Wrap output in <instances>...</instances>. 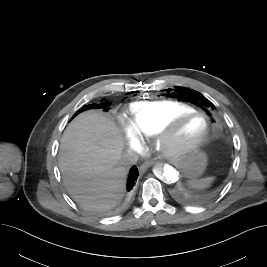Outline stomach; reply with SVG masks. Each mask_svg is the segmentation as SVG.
Returning <instances> with one entry per match:
<instances>
[{
	"instance_id": "stomach-1",
	"label": "stomach",
	"mask_w": 267,
	"mask_h": 267,
	"mask_svg": "<svg viewBox=\"0 0 267 267\" xmlns=\"http://www.w3.org/2000/svg\"><path fill=\"white\" fill-rule=\"evenodd\" d=\"M206 165V155L198 150H193L183 155L179 161L182 171L191 178L199 177L204 172Z\"/></svg>"
}]
</instances>
